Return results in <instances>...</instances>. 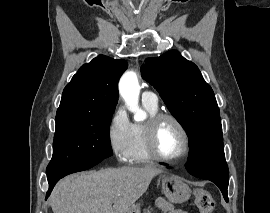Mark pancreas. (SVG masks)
<instances>
[{"mask_svg":"<svg viewBox=\"0 0 270 213\" xmlns=\"http://www.w3.org/2000/svg\"><path fill=\"white\" fill-rule=\"evenodd\" d=\"M151 212H152V209L149 207V208L145 209L143 213H151Z\"/></svg>","mask_w":270,"mask_h":213,"instance_id":"1","label":"pancreas"}]
</instances>
